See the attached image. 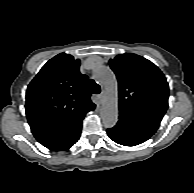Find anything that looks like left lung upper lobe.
I'll list each match as a JSON object with an SVG mask.
<instances>
[{"label": "left lung upper lobe", "mask_w": 194, "mask_h": 193, "mask_svg": "<svg viewBox=\"0 0 194 193\" xmlns=\"http://www.w3.org/2000/svg\"><path fill=\"white\" fill-rule=\"evenodd\" d=\"M119 88V111L159 126L168 108L164 74L146 58L125 53L109 61Z\"/></svg>", "instance_id": "obj_1"}]
</instances>
